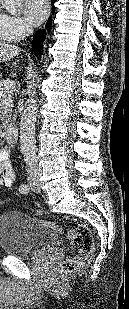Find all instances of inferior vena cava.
Instances as JSON below:
<instances>
[{"instance_id": "602c4592", "label": "inferior vena cava", "mask_w": 129, "mask_h": 309, "mask_svg": "<svg viewBox=\"0 0 129 309\" xmlns=\"http://www.w3.org/2000/svg\"><path fill=\"white\" fill-rule=\"evenodd\" d=\"M25 33H26L27 36L31 35L33 33V29L27 25L25 27Z\"/></svg>"}]
</instances>
